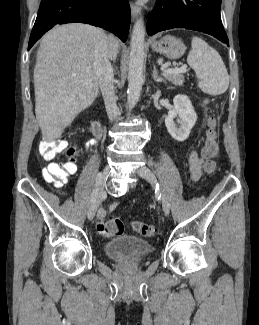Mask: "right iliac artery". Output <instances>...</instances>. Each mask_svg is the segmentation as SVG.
Instances as JSON below:
<instances>
[{"label": "right iliac artery", "instance_id": "1", "mask_svg": "<svg viewBox=\"0 0 259 325\" xmlns=\"http://www.w3.org/2000/svg\"><path fill=\"white\" fill-rule=\"evenodd\" d=\"M100 174L98 173V175L95 176V181L92 184V196H91V201H93L97 194L99 193V185H100Z\"/></svg>", "mask_w": 259, "mask_h": 325}]
</instances>
